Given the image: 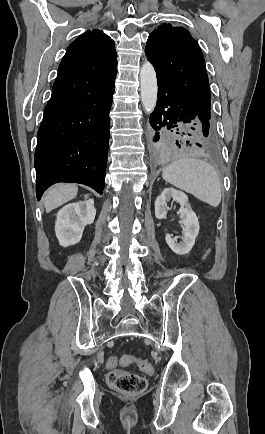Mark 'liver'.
<instances>
[{
    "mask_svg": "<svg viewBox=\"0 0 265 434\" xmlns=\"http://www.w3.org/2000/svg\"><path fill=\"white\" fill-rule=\"evenodd\" d=\"M78 188L75 184H56L51 186L43 196V204L47 214L77 196Z\"/></svg>",
    "mask_w": 265,
    "mask_h": 434,
    "instance_id": "6515ba94",
    "label": "liver"
}]
</instances>
